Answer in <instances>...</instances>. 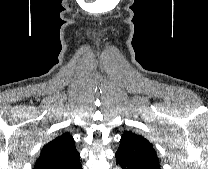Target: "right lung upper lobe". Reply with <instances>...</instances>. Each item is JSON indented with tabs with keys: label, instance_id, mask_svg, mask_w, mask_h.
<instances>
[{
	"label": "right lung upper lobe",
	"instance_id": "1",
	"mask_svg": "<svg viewBox=\"0 0 208 169\" xmlns=\"http://www.w3.org/2000/svg\"><path fill=\"white\" fill-rule=\"evenodd\" d=\"M78 160L73 137L66 132L43 147L33 169H65Z\"/></svg>",
	"mask_w": 208,
	"mask_h": 169
}]
</instances>
